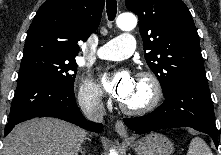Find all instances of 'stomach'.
<instances>
[{"label": "stomach", "instance_id": "1", "mask_svg": "<svg viewBox=\"0 0 221 155\" xmlns=\"http://www.w3.org/2000/svg\"><path fill=\"white\" fill-rule=\"evenodd\" d=\"M137 155H171L174 151L173 143L160 133H150L132 142Z\"/></svg>", "mask_w": 221, "mask_h": 155}]
</instances>
